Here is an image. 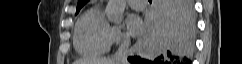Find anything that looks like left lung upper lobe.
<instances>
[{"label": "left lung upper lobe", "instance_id": "left-lung-upper-lobe-1", "mask_svg": "<svg viewBox=\"0 0 242 64\" xmlns=\"http://www.w3.org/2000/svg\"><path fill=\"white\" fill-rule=\"evenodd\" d=\"M89 0H79L78 4H77V12L78 13L80 11V9L88 2Z\"/></svg>", "mask_w": 242, "mask_h": 64}]
</instances>
